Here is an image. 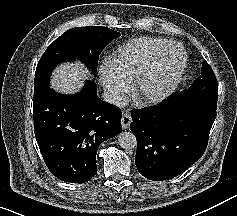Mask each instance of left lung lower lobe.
Instances as JSON below:
<instances>
[{
  "label": "left lung lower lobe",
  "instance_id": "0a47b994",
  "mask_svg": "<svg viewBox=\"0 0 237 216\" xmlns=\"http://www.w3.org/2000/svg\"><path fill=\"white\" fill-rule=\"evenodd\" d=\"M131 115L136 167L145 178L162 181L180 175L201 158L216 106L174 94L158 106L133 110Z\"/></svg>",
  "mask_w": 237,
  "mask_h": 216
}]
</instances>
